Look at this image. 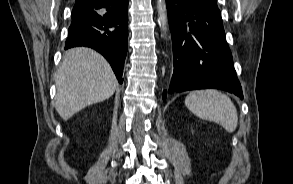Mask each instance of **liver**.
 Wrapping results in <instances>:
<instances>
[{"mask_svg":"<svg viewBox=\"0 0 293 184\" xmlns=\"http://www.w3.org/2000/svg\"><path fill=\"white\" fill-rule=\"evenodd\" d=\"M55 82V108L65 121L85 107L110 98L118 86L108 62L85 47L64 54Z\"/></svg>","mask_w":293,"mask_h":184,"instance_id":"1","label":"liver"}]
</instances>
